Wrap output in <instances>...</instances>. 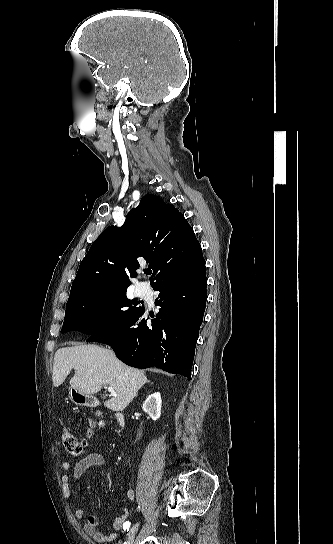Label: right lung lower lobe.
Returning <instances> with one entry per match:
<instances>
[{"instance_id":"98d812e1","label":"right lung lower lobe","mask_w":333,"mask_h":544,"mask_svg":"<svg viewBox=\"0 0 333 544\" xmlns=\"http://www.w3.org/2000/svg\"><path fill=\"white\" fill-rule=\"evenodd\" d=\"M206 287L205 264L189 275L165 279L153 288L160 292L155 301L160 309L151 325L146 324L144 309L122 326L87 341L110 345L132 367H156L190 378Z\"/></svg>"}]
</instances>
